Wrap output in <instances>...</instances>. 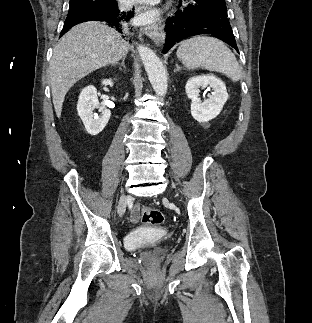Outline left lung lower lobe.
<instances>
[{
    "label": "left lung lower lobe",
    "instance_id": "obj_1",
    "mask_svg": "<svg viewBox=\"0 0 312 323\" xmlns=\"http://www.w3.org/2000/svg\"><path fill=\"white\" fill-rule=\"evenodd\" d=\"M165 31L163 53L176 42L202 34L212 35L239 52L227 17L225 0H186L182 9L167 19Z\"/></svg>",
    "mask_w": 312,
    "mask_h": 323
}]
</instances>
